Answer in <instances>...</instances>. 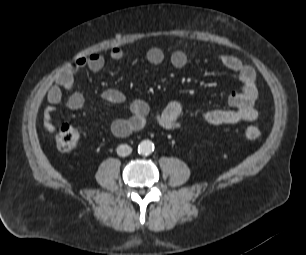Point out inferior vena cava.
<instances>
[{
	"mask_svg": "<svg viewBox=\"0 0 306 255\" xmlns=\"http://www.w3.org/2000/svg\"><path fill=\"white\" fill-rule=\"evenodd\" d=\"M132 152V148L127 144H121L117 147V154L119 156L125 157L130 155Z\"/></svg>",
	"mask_w": 306,
	"mask_h": 255,
	"instance_id": "inferior-vena-cava-1",
	"label": "inferior vena cava"
}]
</instances>
